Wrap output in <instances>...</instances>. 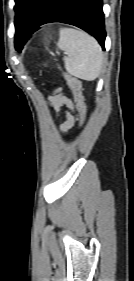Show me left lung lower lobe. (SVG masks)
I'll list each match as a JSON object with an SVG mask.
<instances>
[{"instance_id":"1","label":"left lung lower lobe","mask_w":134,"mask_h":281,"mask_svg":"<svg viewBox=\"0 0 134 281\" xmlns=\"http://www.w3.org/2000/svg\"><path fill=\"white\" fill-rule=\"evenodd\" d=\"M62 22L77 26L92 34L104 49L105 29L102 0H42L27 26L16 31L15 48L22 50L28 37L40 25Z\"/></svg>"}]
</instances>
